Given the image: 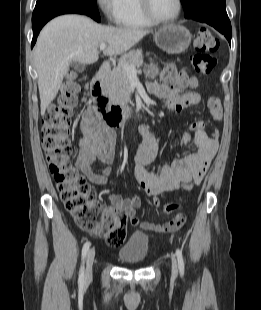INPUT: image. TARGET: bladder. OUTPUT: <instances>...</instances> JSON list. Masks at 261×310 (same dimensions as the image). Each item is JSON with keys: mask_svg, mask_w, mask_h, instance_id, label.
Wrapping results in <instances>:
<instances>
[{"mask_svg": "<svg viewBox=\"0 0 261 310\" xmlns=\"http://www.w3.org/2000/svg\"><path fill=\"white\" fill-rule=\"evenodd\" d=\"M149 252V238L141 231L133 232L128 241L118 250L120 261L128 264H139L146 260Z\"/></svg>", "mask_w": 261, "mask_h": 310, "instance_id": "bladder-1", "label": "bladder"}]
</instances>
